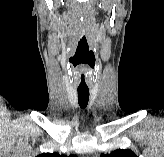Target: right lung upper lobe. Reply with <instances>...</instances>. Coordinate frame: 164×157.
<instances>
[{
  "mask_svg": "<svg viewBox=\"0 0 164 157\" xmlns=\"http://www.w3.org/2000/svg\"><path fill=\"white\" fill-rule=\"evenodd\" d=\"M36 157H77V156L76 155H70V156L60 155V154L54 152V153H43V154L38 155Z\"/></svg>",
  "mask_w": 164,
  "mask_h": 157,
  "instance_id": "obj_1",
  "label": "right lung upper lobe"
}]
</instances>
